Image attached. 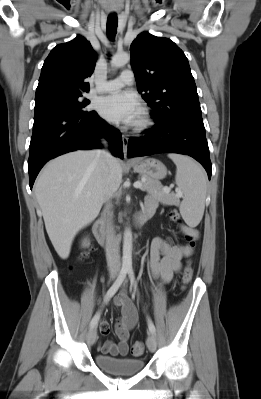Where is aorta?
<instances>
[{
  "mask_svg": "<svg viewBox=\"0 0 261 399\" xmlns=\"http://www.w3.org/2000/svg\"><path fill=\"white\" fill-rule=\"evenodd\" d=\"M130 61L128 53H117L112 57L111 66L119 68L126 65ZM123 265H132V232L130 228H126L123 236Z\"/></svg>",
  "mask_w": 261,
  "mask_h": 399,
  "instance_id": "762f6f07",
  "label": "aorta"
}]
</instances>
